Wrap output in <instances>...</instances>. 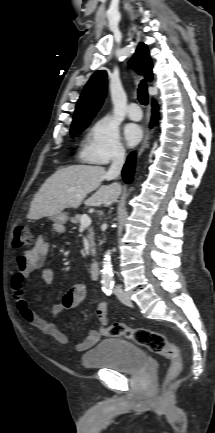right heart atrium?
I'll list each match as a JSON object with an SVG mask.
<instances>
[{"mask_svg": "<svg viewBox=\"0 0 215 433\" xmlns=\"http://www.w3.org/2000/svg\"><path fill=\"white\" fill-rule=\"evenodd\" d=\"M125 155L117 123L109 116L97 119L84 141L82 158L93 164L104 165Z\"/></svg>", "mask_w": 215, "mask_h": 433, "instance_id": "d8ad5b80", "label": "right heart atrium"}]
</instances>
